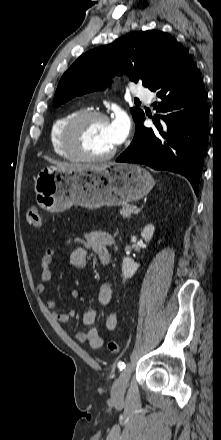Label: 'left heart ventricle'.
<instances>
[{
    "label": "left heart ventricle",
    "mask_w": 221,
    "mask_h": 440,
    "mask_svg": "<svg viewBox=\"0 0 221 440\" xmlns=\"http://www.w3.org/2000/svg\"><path fill=\"white\" fill-rule=\"evenodd\" d=\"M80 147L88 154L102 155L115 147L110 123L100 119L86 121L79 132Z\"/></svg>",
    "instance_id": "b2bd125f"
}]
</instances>
